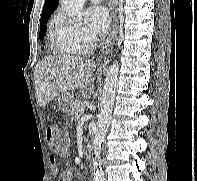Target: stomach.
Masks as SVG:
<instances>
[{"instance_id": "0dacf381", "label": "stomach", "mask_w": 197, "mask_h": 181, "mask_svg": "<svg viewBox=\"0 0 197 181\" xmlns=\"http://www.w3.org/2000/svg\"><path fill=\"white\" fill-rule=\"evenodd\" d=\"M74 101L73 95L70 92H63L58 97L59 108L63 112H69L70 106Z\"/></svg>"}]
</instances>
